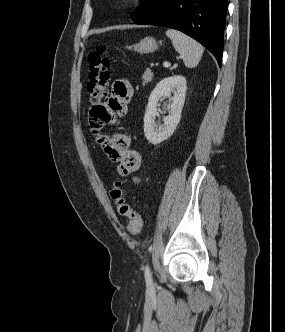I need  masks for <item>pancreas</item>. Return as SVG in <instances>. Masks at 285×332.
<instances>
[{"label":"pancreas","instance_id":"pancreas-1","mask_svg":"<svg viewBox=\"0 0 285 332\" xmlns=\"http://www.w3.org/2000/svg\"><path fill=\"white\" fill-rule=\"evenodd\" d=\"M152 77H153V73L148 69L145 71V73L142 76V80H143V85H145L148 82L152 81Z\"/></svg>","mask_w":285,"mask_h":332}]
</instances>
